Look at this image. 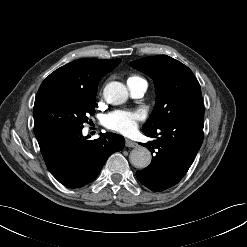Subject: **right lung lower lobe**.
<instances>
[{"label": "right lung lower lobe", "instance_id": "right-lung-lower-lobe-1", "mask_svg": "<svg viewBox=\"0 0 247 247\" xmlns=\"http://www.w3.org/2000/svg\"><path fill=\"white\" fill-rule=\"evenodd\" d=\"M47 168L64 186L79 188L93 181L108 157L123 149L125 140L113 133L87 140L82 129H34Z\"/></svg>", "mask_w": 247, "mask_h": 247}]
</instances>
